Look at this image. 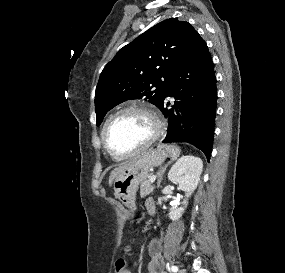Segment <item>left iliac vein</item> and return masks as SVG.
Segmentation results:
<instances>
[{"label":"left iliac vein","instance_id":"left-iliac-vein-1","mask_svg":"<svg viewBox=\"0 0 285 273\" xmlns=\"http://www.w3.org/2000/svg\"><path fill=\"white\" fill-rule=\"evenodd\" d=\"M179 273H186V271L184 269H180Z\"/></svg>","mask_w":285,"mask_h":273}]
</instances>
